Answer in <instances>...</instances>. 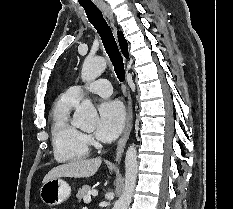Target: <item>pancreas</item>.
<instances>
[{
	"instance_id": "pancreas-1",
	"label": "pancreas",
	"mask_w": 233,
	"mask_h": 209,
	"mask_svg": "<svg viewBox=\"0 0 233 209\" xmlns=\"http://www.w3.org/2000/svg\"><path fill=\"white\" fill-rule=\"evenodd\" d=\"M90 192L91 187L88 185H84L78 190L76 197L78 198V200L84 199V197L89 196Z\"/></svg>"
}]
</instances>
